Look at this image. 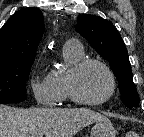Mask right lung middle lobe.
<instances>
[{"label": "right lung middle lobe", "mask_w": 144, "mask_h": 137, "mask_svg": "<svg viewBox=\"0 0 144 137\" xmlns=\"http://www.w3.org/2000/svg\"><path fill=\"white\" fill-rule=\"evenodd\" d=\"M34 59L0 63V104L22 102Z\"/></svg>", "instance_id": "obj_1"}]
</instances>
